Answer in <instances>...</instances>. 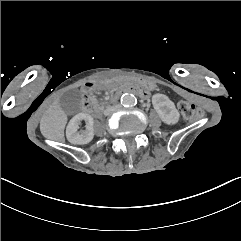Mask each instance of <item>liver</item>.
<instances>
[{"label": "liver", "instance_id": "liver-1", "mask_svg": "<svg viewBox=\"0 0 241 241\" xmlns=\"http://www.w3.org/2000/svg\"><path fill=\"white\" fill-rule=\"evenodd\" d=\"M66 123L67 115L58 103H54L43 114L40 121V131L47 139L65 142L64 129Z\"/></svg>", "mask_w": 241, "mask_h": 241}]
</instances>
